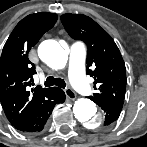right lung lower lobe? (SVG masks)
<instances>
[{
    "label": "right lung lower lobe",
    "mask_w": 147,
    "mask_h": 147,
    "mask_svg": "<svg viewBox=\"0 0 147 147\" xmlns=\"http://www.w3.org/2000/svg\"><path fill=\"white\" fill-rule=\"evenodd\" d=\"M47 98L34 112L26 118L12 124L17 130L27 133H37L43 130L54 106L65 101V93L60 88L51 89Z\"/></svg>",
    "instance_id": "1"
}]
</instances>
